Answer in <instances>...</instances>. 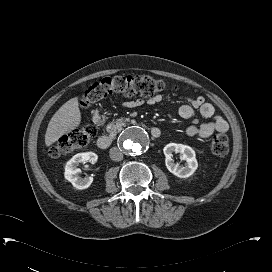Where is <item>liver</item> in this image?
Returning <instances> with one entry per match:
<instances>
[{"label":"liver","mask_w":272,"mask_h":272,"mask_svg":"<svg viewBox=\"0 0 272 272\" xmlns=\"http://www.w3.org/2000/svg\"><path fill=\"white\" fill-rule=\"evenodd\" d=\"M81 123L78 97L64 103L52 116L45 134L46 146L52 145L62 135L77 128Z\"/></svg>","instance_id":"6515ba94"}]
</instances>
